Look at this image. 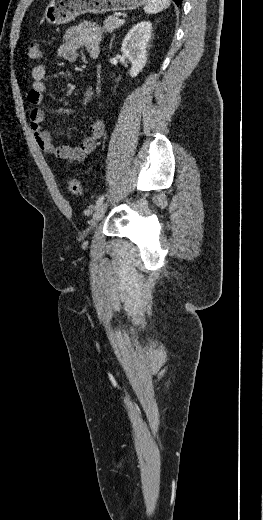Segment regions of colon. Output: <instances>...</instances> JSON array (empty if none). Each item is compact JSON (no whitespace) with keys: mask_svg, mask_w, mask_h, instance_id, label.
Here are the masks:
<instances>
[{"mask_svg":"<svg viewBox=\"0 0 263 520\" xmlns=\"http://www.w3.org/2000/svg\"><path fill=\"white\" fill-rule=\"evenodd\" d=\"M41 57L40 45L37 42H31L27 49V58L29 60H39ZM67 190L71 195H80L82 193V185L80 180L74 177H68L66 180Z\"/></svg>","mask_w":263,"mask_h":520,"instance_id":"colon-1","label":"colon"}]
</instances>
